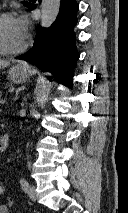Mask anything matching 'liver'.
Returning a JSON list of instances; mask_svg holds the SVG:
<instances>
[{
	"label": "liver",
	"instance_id": "obj_1",
	"mask_svg": "<svg viewBox=\"0 0 128 213\" xmlns=\"http://www.w3.org/2000/svg\"><path fill=\"white\" fill-rule=\"evenodd\" d=\"M9 64V61L0 60V69L7 67Z\"/></svg>",
	"mask_w": 128,
	"mask_h": 213
}]
</instances>
